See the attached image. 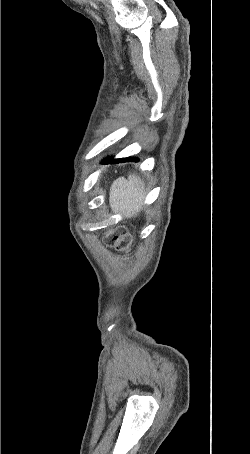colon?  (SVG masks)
I'll use <instances>...</instances> for the list:
<instances>
[{"instance_id": "1", "label": "colon", "mask_w": 250, "mask_h": 454, "mask_svg": "<svg viewBox=\"0 0 250 454\" xmlns=\"http://www.w3.org/2000/svg\"><path fill=\"white\" fill-rule=\"evenodd\" d=\"M104 242L108 247H112L122 254L129 253L133 247V238L123 226L107 230L104 234Z\"/></svg>"}]
</instances>
